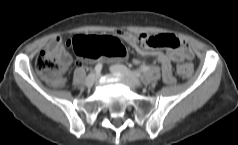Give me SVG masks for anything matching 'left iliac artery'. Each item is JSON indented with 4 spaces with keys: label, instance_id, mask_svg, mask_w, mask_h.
<instances>
[{
    "label": "left iliac artery",
    "instance_id": "1",
    "mask_svg": "<svg viewBox=\"0 0 238 145\" xmlns=\"http://www.w3.org/2000/svg\"><path fill=\"white\" fill-rule=\"evenodd\" d=\"M149 69H150L149 66H143L141 69L134 70L133 73H134L136 76H139L141 73L147 72Z\"/></svg>",
    "mask_w": 238,
    "mask_h": 145
}]
</instances>
